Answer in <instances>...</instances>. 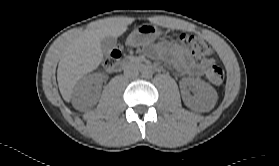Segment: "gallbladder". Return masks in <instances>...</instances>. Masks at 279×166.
Returning a JSON list of instances; mask_svg holds the SVG:
<instances>
[{
	"mask_svg": "<svg viewBox=\"0 0 279 166\" xmlns=\"http://www.w3.org/2000/svg\"><path fill=\"white\" fill-rule=\"evenodd\" d=\"M116 38L113 36H107L100 42V47L104 55H108L116 47Z\"/></svg>",
	"mask_w": 279,
	"mask_h": 166,
	"instance_id": "obj_1",
	"label": "gallbladder"
}]
</instances>
